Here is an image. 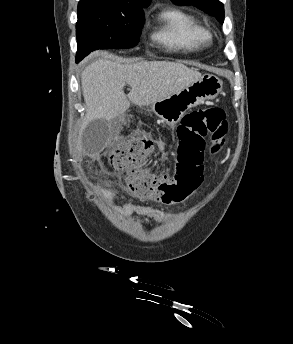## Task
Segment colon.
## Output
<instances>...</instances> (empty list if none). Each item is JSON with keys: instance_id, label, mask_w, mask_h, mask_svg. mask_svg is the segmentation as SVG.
<instances>
[{"instance_id": "colon-1", "label": "colon", "mask_w": 293, "mask_h": 344, "mask_svg": "<svg viewBox=\"0 0 293 344\" xmlns=\"http://www.w3.org/2000/svg\"><path fill=\"white\" fill-rule=\"evenodd\" d=\"M227 121L219 106L195 109L187 113L176 131L172 178L155 176L148 168L153 142L146 137L133 138L111 148L106 160L111 169L125 174L124 185L134 197L161 204H177L187 199L201 183L196 171L203 166L206 138L211 151H219L226 142Z\"/></svg>"}]
</instances>
